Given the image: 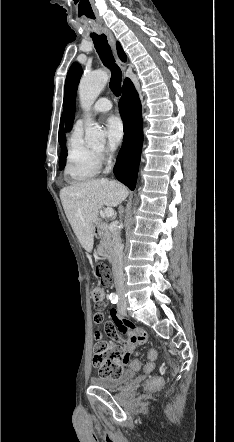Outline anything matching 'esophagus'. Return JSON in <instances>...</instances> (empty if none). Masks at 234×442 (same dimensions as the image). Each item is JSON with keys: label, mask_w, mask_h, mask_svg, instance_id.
Instances as JSON below:
<instances>
[{"label": "esophagus", "mask_w": 234, "mask_h": 442, "mask_svg": "<svg viewBox=\"0 0 234 442\" xmlns=\"http://www.w3.org/2000/svg\"><path fill=\"white\" fill-rule=\"evenodd\" d=\"M104 33H105V34L107 35V37H108V41H109V43H110V45H111V47H112L113 54H114V57H115V59H116V62H117V64L119 65V67L121 68L122 72L124 73L125 70H126V64H125V62H123V61L119 58V56L117 55V51H116V43H115V39H114V36H113L112 32H111L109 29H105V30H104Z\"/></svg>", "instance_id": "obj_1"}]
</instances>
